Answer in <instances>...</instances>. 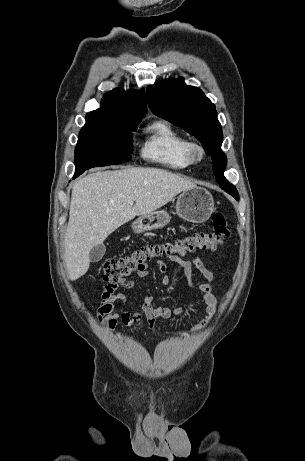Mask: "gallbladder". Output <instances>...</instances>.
Masks as SVG:
<instances>
[{
  "instance_id": "obj_1",
  "label": "gallbladder",
  "mask_w": 305,
  "mask_h": 461,
  "mask_svg": "<svg viewBox=\"0 0 305 461\" xmlns=\"http://www.w3.org/2000/svg\"><path fill=\"white\" fill-rule=\"evenodd\" d=\"M106 252V247L103 244H99L93 247L90 251L89 258L91 262H98L102 259Z\"/></svg>"
}]
</instances>
